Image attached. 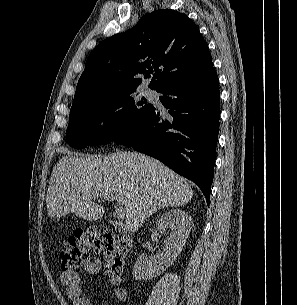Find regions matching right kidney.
Masks as SVG:
<instances>
[{
	"mask_svg": "<svg viewBox=\"0 0 297 305\" xmlns=\"http://www.w3.org/2000/svg\"><path fill=\"white\" fill-rule=\"evenodd\" d=\"M191 216L181 210L172 209L165 212L156 223V230L162 235L170 229L171 233L164 240L163 251L155 257L148 259L141 254L134 265L133 276L135 280H150L160 276L177 258L185 246V242L192 229Z\"/></svg>",
	"mask_w": 297,
	"mask_h": 305,
	"instance_id": "ca27d5eb",
	"label": "right kidney"
}]
</instances>
